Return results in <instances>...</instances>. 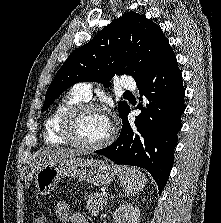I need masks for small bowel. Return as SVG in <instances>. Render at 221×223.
I'll return each mask as SVG.
<instances>
[{"label":"small bowel","mask_w":221,"mask_h":223,"mask_svg":"<svg viewBox=\"0 0 221 223\" xmlns=\"http://www.w3.org/2000/svg\"><path fill=\"white\" fill-rule=\"evenodd\" d=\"M56 215L61 223H89L80 213H71L67 202H60L56 207Z\"/></svg>","instance_id":"small-bowel-1"}]
</instances>
